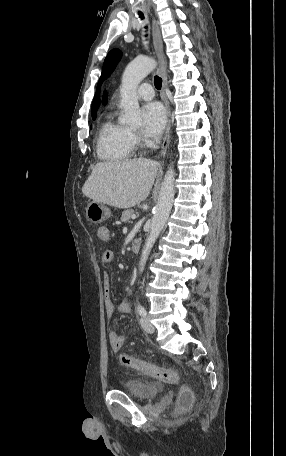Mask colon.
I'll use <instances>...</instances> for the list:
<instances>
[{"label": "colon", "instance_id": "colon-1", "mask_svg": "<svg viewBox=\"0 0 286 456\" xmlns=\"http://www.w3.org/2000/svg\"><path fill=\"white\" fill-rule=\"evenodd\" d=\"M121 361L124 365L136 369L144 375L153 377L162 382L169 384H178L179 376L176 371L158 365L142 361L130 355H121ZM178 403L181 407L187 408L192 403V393L189 389L183 388L178 396Z\"/></svg>", "mask_w": 286, "mask_h": 456}]
</instances>
